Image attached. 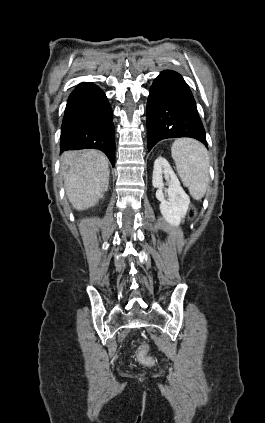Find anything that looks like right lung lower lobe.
I'll list each match as a JSON object with an SVG mask.
<instances>
[{
	"mask_svg": "<svg viewBox=\"0 0 265 423\" xmlns=\"http://www.w3.org/2000/svg\"><path fill=\"white\" fill-rule=\"evenodd\" d=\"M61 151L94 148L115 164L112 110L103 91L81 83L70 94L61 126Z\"/></svg>",
	"mask_w": 265,
	"mask_h": 423,
	"instance_id": "1",
	"label": "right lung lower lobe"
}]
</instances>
